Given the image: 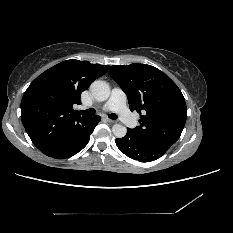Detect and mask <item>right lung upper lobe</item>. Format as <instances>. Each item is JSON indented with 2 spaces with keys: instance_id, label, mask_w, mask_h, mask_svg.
I'll list each match as a JSON object with an SVG mask.
<instances>
[{
  "instance_id": "1",
  "label": "right lung upper lobe",
  "mask_w": 233,
  "mask_h": 233,
  "mask_svg": "<svg viewBox=\"0 0 233 233\" xmlns=\"http://www.w3.org/2000/svg\"><path fill=\"white\" fill-rule=\"evenodd\" d=\"M109 69V65L66 60L39 75L25 91L21 119L33 144L46 152L64 142L87 117L75 114L80 94Z\"/></svg>"
}]
</instances>
